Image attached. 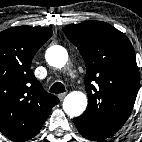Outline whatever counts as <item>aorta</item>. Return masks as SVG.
I'll use <instances>...</instances> for the list:
<instances>
[{
	"mask_svg": "<svg viewBox=\"0 0 142 142\" xmlns=\"http://www.w3.org/2000/svg\"><path fill=\"white\" fill-rule=\"evenodd\" d=\"M47 63L50 66L61 69L68 61L67 50L60 45L50 46L45 54ZM87 107V97L84 93L73 91L69 93L63 101L64 112L71 116H80Z\"/></svg>",
	"mask_w": 142,
	"mask_h": 142,
	"instance_id": "762f6f07",
	"label": "aorta"
}]
</instances>
